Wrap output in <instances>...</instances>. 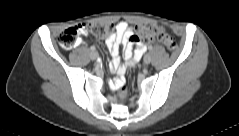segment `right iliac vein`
Returning a JSON list of instances; mask_svg holds the SVG:
<instances>
[{"label":"right iliac vein","instance_id":"63e3f726","mask_svg":"<svg viewBox=\"0 0 239 136\" xmlns=\"http://www.w3.org/2000/svg\"><path fill=\"white\" fill-rule=\"evenodd\" d=\"M97 58H98V53L95 51L91 52V59L96 60Z\"/></svg>","mask_w":239,"mask_h":136}]
</instances>
